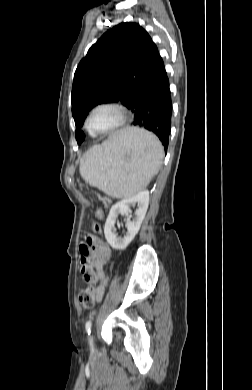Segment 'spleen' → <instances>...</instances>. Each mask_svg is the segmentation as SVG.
<instances>
[{"mask_svg": "<svg viewBox=\"0 0 252 390\" xmlns=\"http://www.w3.org/2000/svg\"><path fill=\"white\" fill-rule=\"evenodd\" d=\"M163 155V147L154 134L126 128L88 150L80 160V174L107 195L128 198L146 188L158 173Z\"/></svg>", "mask_w": 252, "mask_h": 390, "instance_id": "obj_1", "label": "spleen"}]
</instances>
